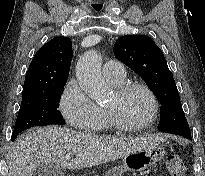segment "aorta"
I'll use <instances>...</instances> for the list:
<instances>
[{
	"label": "aorta",
	"instance_id": "1",
	"mask_svg": "<svg viewBox=\"0 0 205 176\" xmlns=\"http://www.w3.org/2000/svg\"><path fill=\"white\" fill-rule=\"evenodd\" d=\"M76 78L82 90L95 101H103L108 96V86L101 73L100 55L90 50L77 62Z\"/></svg>",
	"mask_w": 205,
	"mask_h": 176
}]
</instances>
